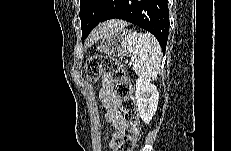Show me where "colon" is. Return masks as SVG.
Here are the masks:
<instances>
[{
	"label": "colon",
	"mask_w": 231,
	"mask_h": 151,
	"mask_svg": "<svg viewBox=\"0 0 231 151\" xmlns=\"http://www.w3.org/2000/svg\"><path fill=\"white\" fill-rule=\"evenodd\" d=\"M88 80L96 81L101 75H108L114 84V94L120 99L125 120L130 126L114 147L115 151H132L140 136L139 115L133 96V85L126 77L123 66L113 57L97 55L89 58L85 65Z\"/></svg>",
	"instance_id": "colon-1"
}]
</instances>
